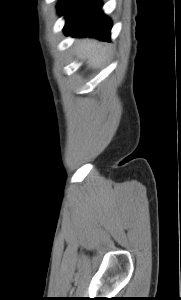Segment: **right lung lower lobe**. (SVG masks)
<instances>
[{"label": "right lung lower lobe", "instance_id": "obj_1", "mask_svg": "<svg viewBox=\"0 0 181 300\" xmlns=\"http://www.w3.org/2000/svg\"><path fill=\"white\" fill-rule=\"evenodd\" d=\"M99 0H67L59 7L66 14L64 32L68 36L95 37L110 41L111 21L101 11Z\"/></svg>", "mask_w": 181, "mask_h": 300}]
</instances>
